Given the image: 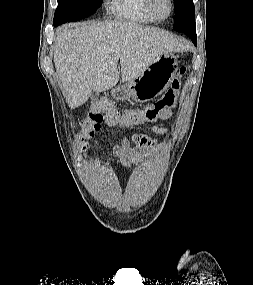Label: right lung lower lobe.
<instances>
[{
  "instance_id": "98d812e1",
  "label": "right lung lower lobe",
  "mask_w": 253,
  "mask_h": 285,
  "mask_svg": "<svg viewBox=\"0 0 253 285\" xmlns=\"http://www.w3.org/2000/svg\"><path fill=\"white\" fill-rule=\"evenodd\" d=\"M54 25H55V26H58V25H60V24H59L58 22H55V21H54Z\"/></svg>"
}]
</instances>
